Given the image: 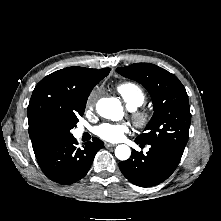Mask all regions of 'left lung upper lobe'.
I'll use <instances>...</instances> for the list:
<instances>
[{
    "label": "left lung upper lobe",
    "mask_w": 221,
    "mask_h": 221,
    "mask_svg": "<svg viewBox=\"0 0 221 221\" xmlns=\"http://www.w3.org/2000/svg\"><path fill=\"white\" fill-rule=\"evenodd\" d=\"M122 76L142 84L150 93L154 114L136 139L143 144H157L183 153L189 137L190 107L188 95L179 79L150 63L118 67Z\"/></svg>",
    "instance_id": "left-lung-upper-lobe-1"
}]
</instances>
